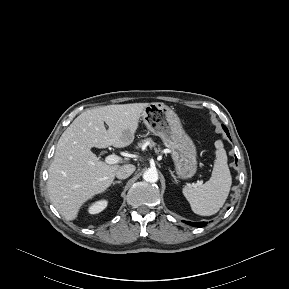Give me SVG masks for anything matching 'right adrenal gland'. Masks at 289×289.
Instances as JSON below:
<instances>
[{
	"instance_id": "right-adrenal-gland-1",
	"label": "right adrenal gland",
	"mask_w": 289,
	"mask_h": 289,
	"mask_svg": "<svg viewBox=\"0 0 289 289\" xmlns=\"http://www.w3.org/2000/svg\"><path fill=\"white\" fill-rule=\"evenodd\" d=\"M121 183H122V181H120V180H119V181H114V182H113V185H115V184H121Z\"/></svg>"
}]
</instances>
